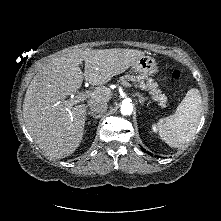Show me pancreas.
Returning <instances> with one entry per match:
<instances>
[{
  "label": "pancreas",
  "instance_id": "obj_1",
  "mask_svg": "<svg viewBox=\"0 0 221 221\" xmlns=\"http://www.w3.org/2000/svg\"><path fill=\"white\" fill-rule=\"evenodd\" d=\"M119 82L132 81L136 82V86L140 87L143 90L149 91V94L152 95V99L159 103V106L166 107L167 97L162 93L158 88V84L153 82L151 78L144 76H134V75H124L119 78Z\"/></svg>",
  "mask_w": 221,
  "mask_h": 221
}]
</instances>
